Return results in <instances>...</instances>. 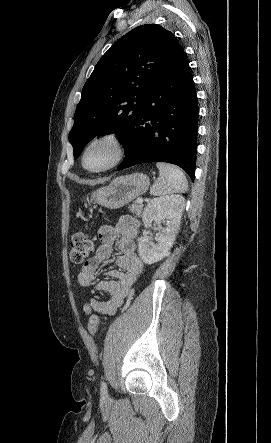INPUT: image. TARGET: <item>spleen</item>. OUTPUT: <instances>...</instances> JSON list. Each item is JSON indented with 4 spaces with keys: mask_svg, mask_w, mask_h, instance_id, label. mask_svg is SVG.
<instances>
[{
    "mask_svg": "<svg viewBox=\"0 0 271 443\" xmlns=\"http://www.w3.org/2000/svg\"><path fill=\"white\" fill-rule=\"evenodd\" d=\"M159 170L158 184L150 188L151 196H166V194H183L187 192L188 184L180 168L170 164H156Z\"/></svg>",
    "mask_w": 271,
    "mask_h": 443,
    "instance_id": "1",
    "label": "spleen"
}]
</instances>
